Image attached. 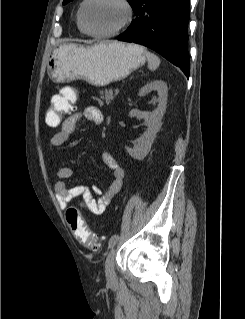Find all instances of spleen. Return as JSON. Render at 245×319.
I'll use <instances>...</instances> for the list:
<instances>
[{"mask_svg": "<svg viewBox=\"0 0 245 319\" xmlns=\"http://www.w3.org/2000/svg\"><path fill=\"white\" fill-rule=\"evenodd\" d=\"M147 60H148V68L152 71L156 70L160 65V59L155 54L145 51Z\"/></svg>", "mask_w": 245, "mask_h": 319, "instance_id": "3e777b00", "label": "spleen"}]
</instances>
